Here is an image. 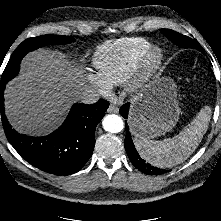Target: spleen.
I'll return each mask as SVG.
<instances>
[{
	"label": "spleen",
	"mask_w": 221,
	"mask_h": 221,
	"mask_svg": "<svg viewBox=\"0 0 221 221\" xmlns=\"http://www.w3.org/2000/svg\"><path fill=\"white\" fill-rule=\"evenodd\" d=\"M211 108L204 107L178 135L162 141L135 137V147L143 159L158 168L184 162L199 146L208 129Z\"/></svg>",
	"instance_id": "3e777b00"
}]
</instances>
